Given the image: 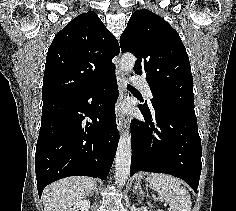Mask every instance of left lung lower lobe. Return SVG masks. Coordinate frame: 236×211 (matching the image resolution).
Returning a JSON list of instances; mask_svg holds the SVG:
<instances>
[{"label": "left lung lower lobe", "instance_id": "left-lung-lower-lobe-1", "mask_svg": "<svg viewBox=\"0 0 236 211\" xmlns=\"http://www.w3.org/2000/svg\"><path fill=\"white\" fill-rule=\"evenodd\" d=\"M146 123L131 132L132 176L138 171L166 173L186 181L197 192L202 163L201 140L194 115L139 106ZM135 125L141 126L134 119Z\"/></svg>", "mask_w": 236, "mask_h": 211}]
</instances>
